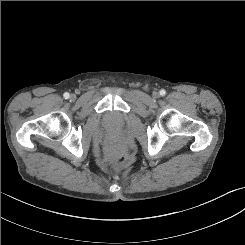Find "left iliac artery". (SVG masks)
Returning <instances> with one entry per match:
<instances>
[{
	"label": "left iliac artery",
	"instance_id": "44dca946",
	"mask_svg": "<svg viewBox=\"0 0 245 245\" xmlns=\"http://www.w3.org/2000/svg\"><path fill=\"white\" fill-rule=\"evenodd\" d=\"M166 94V91L164 89L160 90V95L164 96Z\"/></svg>",
	"mask_w": 245,
	"mask_h": 245
}]
</instances>
